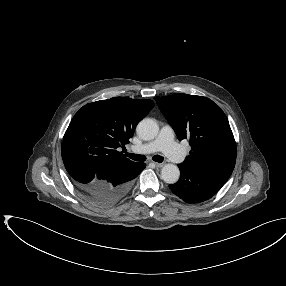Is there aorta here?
<instances>
[{
	"label": "aorta",
	"mask_w": 286,
	"mask_h": 286,
	"mask_svg": "<svg viewBox=\"0 0 286 286\" xmlns=\"http://www.w3.org/2000/svg\"><path fill=\"white\" fill-rule=\"evenodd\" d=\"M137 134L144 140L154 139L159 131L158 124L155 120L144 118L141 120L136 128ZM180 171L175 164H165L161 169V178L168 184H174L179 180Z\"/></svg>",
	"instance_id": "aorta-1"
}]
</instances>
